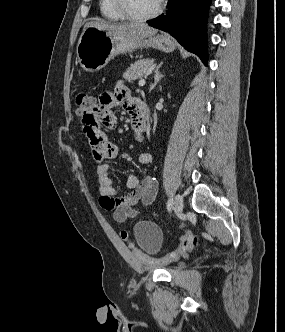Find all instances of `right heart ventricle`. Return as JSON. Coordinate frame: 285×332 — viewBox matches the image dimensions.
<instances>
[{
	"instance_id": "1",
	"label": "right heart ventricle",
	"mask_w": 285,
	"mask_h": 332,
	"mask_svg": "<svg viewBox=\"0 0 285 332\" xmlns=\"http://www.w3.org/2000/svg\"><path fill=\"white\" fill-rule=\"evenodd\" d=\"M100 13L109 21H122L125 17L117 10L113 0H99Z\"/></svg>"
}]
</instances>
